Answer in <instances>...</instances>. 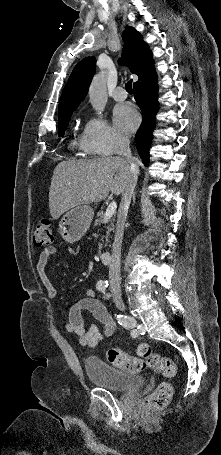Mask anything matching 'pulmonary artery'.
Listing matches in <instances>:
<instances>
[{
  "label": "pulmonary artery",
  "mask_w": 221,
  "mask_h": 455,
  "mask_svg": "<svg viewBox=\"0 0 221 455\" xmlns=\"http://www.w3.org/2000/svg\"><path fill=\"white\" fill-rule=\"evenodd\" d=\"M112 96L116 101H123L126 99L127 94L123 87H117L113 91Z\"/></svg>",
  "instance_id": "obj_1"
}]
</instances>
